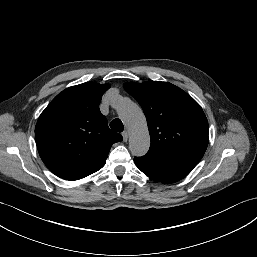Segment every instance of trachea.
<instances>
[{
	"mask_svg": "<svg viewBox=\"0 0 257 257\" xmlns=\"http://www.w3.org/2000/svg\"><path fill=\"white\" fill-rule=\"evenodd\" d=\"M110 127L112 130H114L116 132H122L124 130L123 123L119 119H114L110 123Z\"/></svg>",
	"mask_w": 257,
	"mask_h": 257,
	"instance_id": "obj_1",
	"label": "trachea"
}]
</instances>
